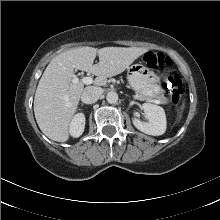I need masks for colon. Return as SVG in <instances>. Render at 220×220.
<instances>
[{
    "label": "colon",
    "mask_w": 220,
    "mask_h": 220,
    "mask_svg": "<svg viewBox=\"0 0 220 220\" xmlns=\"http://www.w3.org/2000/svg\"><path fill=\"white\" fill-rule=\"evenodd\" d=\"M144 62L151 69H165L171 65V59L163 53L149 51L144 55ZM167 87L172 103L178 104L182 99L184 89L182 81L177 73H171L167 77Z\"/></svg>",
    "instance_id": "obj_1"
}]
</instances>
